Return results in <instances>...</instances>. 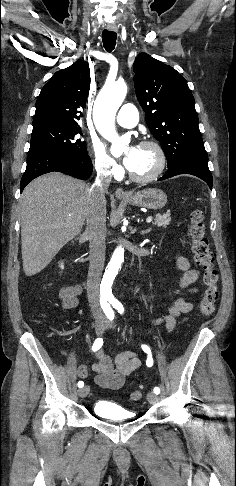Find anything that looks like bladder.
Wrapping results in <instances>:
<instances>
[{
	"instance_id": "obj_1",
	"label": "bladder",
	"mask_w": 236,
	"mask_h": 486,
	"mask_svg": "<svg viewBox=\"0 0 236 486\" xmlns=\"http://www.w3.org/2000/svg\"><path fill=\"white\" fill-rule=\"evenodd\" d=\"M93 411L98 417L111 421L125 422L135 418V413L109 401H98Z\"/></svg>"
}]
</instances>
